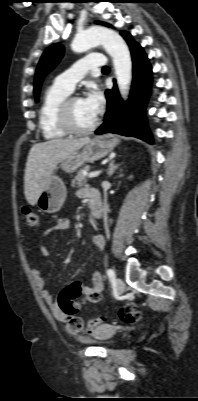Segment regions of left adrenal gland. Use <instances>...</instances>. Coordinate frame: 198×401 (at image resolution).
<instances>
[{
    "label": "left adrenal gland",
    "mask_w": 198,
    "mask_h": 401,
    "mask_svg": "<svg viewBox=\"0 0 198 401\" xmlns=\"http://www.w3.org/2000/svg\"><path fill=\"white\" fill-rule=\"evenodd\" d=\"M120 165H115L114 164V160H112L109 164V168H108V176H112L114 174V172L116 171V169L119 167Z\"/></svg>",
    "instance_id": "obj_1"
}]
</instances>
